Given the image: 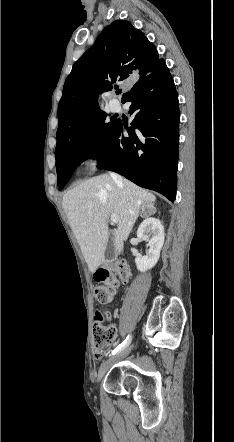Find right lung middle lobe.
<instances>
[{
  "instance_id": "1",
  "label": "right lung middle lobe",
  "mask_w": 234,
  "mask_h": 442,
  "mask_svg": "<svg viewBox=\"0 0 234 442\" xmlns=\"http://www.w3.org/2000/svg\"><path fill=\"white\" fill-rule=\"evenodd\" d=\"M97 110L86 118L70 138L55 149L57 184L62 189L80 162L97 157L106 145L116 119Z\"/></svg>"
}]
</instances>
